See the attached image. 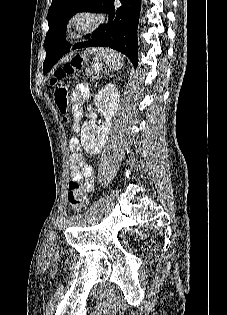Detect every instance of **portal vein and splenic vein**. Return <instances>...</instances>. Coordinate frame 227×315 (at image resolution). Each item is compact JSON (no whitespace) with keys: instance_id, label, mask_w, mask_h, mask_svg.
<instances>
[{"instance_id":"1","label":"portal vein and splenic vein","mask_w":227,"mask_h":315,"mask_svg":"<svg viewBox=\"0 0 227 315\" xmlns=\"http://www.w3.org/2000/svg\"><path fill=\"white\" fill-rule=\"evenodd\" d=\"M96 68L99 70V66L98 65H96Z\"/></svg>"}]
</instances>
